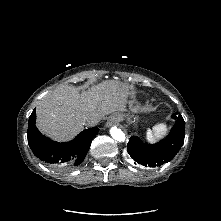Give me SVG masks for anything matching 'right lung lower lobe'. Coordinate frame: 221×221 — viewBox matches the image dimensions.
<instances>
[{
  "label": "right lung lower lobe",
  "instance_id": "98d812e1",
  "mask_svg": "<svg viewBox=\"0 0 221 221\" xmlns=\"http://www.w3.org/2000/svg\"><path fill=\"white\" fill-rule=\"evenodd\" d=\"M36 111L33 110L28 123V144L36 157L60 169H71L84 160L99 128L82 131L70 142H55L42 135L36 125Z\"/></svg>",
  "mask_w": 221,
  "mask_h": 221
}]
</instances>
